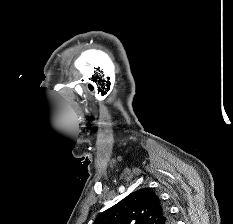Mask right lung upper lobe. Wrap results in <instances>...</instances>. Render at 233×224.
<instances>
[{"label": "right lung upper lobe", "instance_id": "obj_1", "mask_svg": "<svg viewBox=\"0 0 233 224\" xmlns=\"http://www.w3.org/2000/svg\"><path fill=\"white\" fill-rule=\"evenodd\" d=\"M168 211L151 189H140L101 213L93 224H171Z\"/></svg>", "mask_w": 233, "mask_h": 224}]
</instances>
